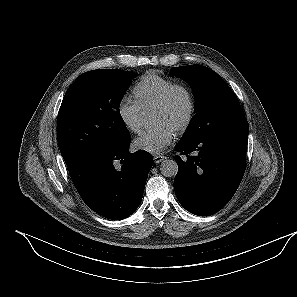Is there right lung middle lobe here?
<instances>
[{"label":"right lung middle lobe","instance_id":"1","mask_svg":"<svg viewBox=\"0 0 297 297\" xmlns=\"http://www.w3.org/2000/svg\"><path fill=\"white\" fill-rule=\"evenodd\" d=\"M135 77L128 71L100 69L72 83L57 120L58 144L67 166L92 150L119 147L130 139L119 105Z\"/></svg>","mask_w":297,"mask_h":297}]
</instances>
